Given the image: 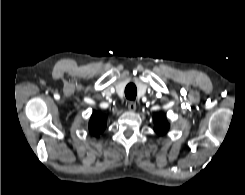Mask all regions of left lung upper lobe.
Masks as SVG:
<instances>
[{
	"mask_svg": "<svg viewBox=\"0 0 245 195\" xmlns=\"http://www.w3.org/2000/svg\"><path fill=\"white\" fill-rule=\"evenodd\" d=\"M169 129V123L165 116L157 114L154 116V130L157 134H166Z\"/></svg>",
	"mask_w": 245,
	"mask_h": 195,
	"instance_id": "obj_1",
	"label": "left lung upper lobe"
}]
</instances>
